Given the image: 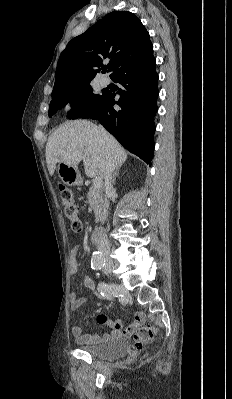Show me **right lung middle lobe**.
I'll list each match as a JSON object with an SVG mask.
<instances>
[{"label":"right lung middle lobe","instance_id":"right-lung-middle-lobe-1","mask_svg":"<svg viewBox=\"0 0 232 399\" xmlns=\"http://www.w3.org/2000/svg\"><path fill=\"white\" fill-rule=\"evenodd\" d=\"M92 91L93 89L90 84L85 83L77 86L69 92L52 95L53 99L49 106V117L69 102H71V105L74 108V110L69 113V118H76L79 113L95 110L102 102L106 92H103L102 95H98L94 94Z\"/></svg>","mask_w":232,"mask_h":399}]
</instances>
